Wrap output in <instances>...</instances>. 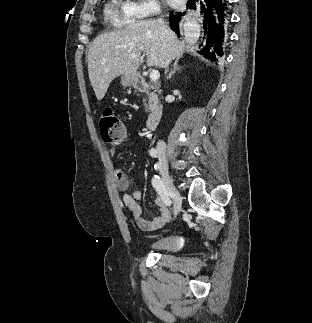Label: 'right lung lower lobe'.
I'll return each mask as SVG.
<instances>
[{
	"label": "right lung lower lobe",
	"mask_w": 312,
	"mask_h": 323,
	"mask_svg": "<svg viewBox=\"0 0 312 323\" xmlns=\"http://www.w3.org/2000/svg\"><path fill=\"white\" fill-rule=\"evenodd\" d=\"M230 3L227 0H190L186 11L170 13L169 23L178 35L180 30L188 28L193 19H197L200 30L199 54L216 61L223 55L229 25Z\"/></svg>",
	"instance_id": "obj_1"
}]
</instances>
